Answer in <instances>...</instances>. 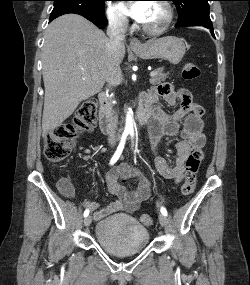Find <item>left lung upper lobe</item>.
Returning <instances> with one entry per match:
<instances>
[{
    "label": "left lung upper lobe",
    "mask_w": 250,
    "mask_h": 285,
    "mask_svg": "<svg viewBox=\"0 0 250 285\" xmlns=\"http://www.w3.org/2000/svg\"><path fill=\"white\" fill-rule=\"evenodd\" d=\"M173 1L179 14L177 27L195 24L212 26L209 16V0H170Z\"/></svg>",
    "instance_id": "1"
}]
</instances>
